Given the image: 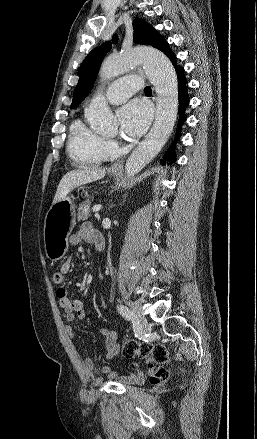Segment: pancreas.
<instances>
[{
    "label": "pancreas",
    "instance_id": "1",
    "mask_svg": "<svg viewBox=\"0 0 257 439\" xmlns=\"http://www.w3.org/2000/svg\"><path fill=\"white\" fill-rule=\"evenodd\" d=\"M91 201L86 200L85 202L81 203L78 207V213H77V219L78 221L87 220L91 214L89 210V205Z\"/></svg>",
    "mask_w": 257,
    "mask_h": 439
}]
</instances>
